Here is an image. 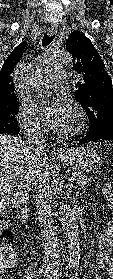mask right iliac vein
Here are the masks:
<instances>
[{
    "instance_id": "obj_1",
    "label": "right iliac vein",
    "mask_w": 113,
    "mask_h": 279,
    "mask_svg": "<svg viewBox=\"0 0 113 279\" xmlns=\"http://www.w3.org/2000/svg\"><path fill=\"white\" fill-rule=\"evenodd\" d=\"M41 272L47 273L49 270L47 267L43 266L41 269Z\"/></svg>"
}]
</instances>
